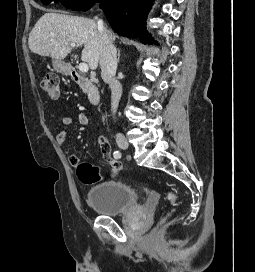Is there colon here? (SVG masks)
<instances>
[{
    "label": "colon",
    "mask_w": 255,
    "mask_h": 272,
    "mask_svg": "<svg viewBox=\"0 0 255 272\" xmlns=\"http://www.w3.org/2000/svg\"><path fill=\"white\" fill-rule=\"evenodd\" d=\"M42 90L52 99H56L59 95V77L56 73H47L41 79ZM77 176L84 184H93L100 178L99 168L90 163H80L77 167ZM166 200L169 205L168 210L162 216L159 224L166 222L174 213L177 195L173 190L165 192Z\"/></svg>",
    "instance_id": "5ec220e1"
}]
</instances>
